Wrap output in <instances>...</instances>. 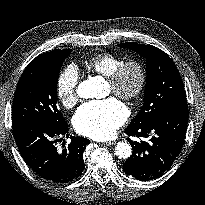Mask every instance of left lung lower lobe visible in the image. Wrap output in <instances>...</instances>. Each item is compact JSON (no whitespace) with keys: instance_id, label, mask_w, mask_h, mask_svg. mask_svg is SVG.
Wrapping results in <instances>:
<instances>
[{"instance_id":"1","label":"left lung lower lobe","mask_w":205,"mask_h":205,"mask_svg":"<svg viewBox=\"0 0 205 205\" xmlns=\"http://www.w3.org/2000/svg\"><path fill=\"white\" fill-rule=\"evenodd\" d=\"M188 113L187 103L178 104L140 126L127 127L126 134L145 139L137 142L128 138L133 153L123 165L124 172L138 180L149 181L168 170L182 149Z\"/></svg>"}]
</instances>
